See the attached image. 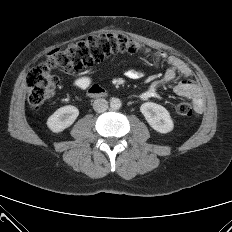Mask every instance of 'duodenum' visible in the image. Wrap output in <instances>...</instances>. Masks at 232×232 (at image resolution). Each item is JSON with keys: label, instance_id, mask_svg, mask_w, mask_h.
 <instances>
[{"label": "duodenum", "instance_id": "410a0bca", "mask_svg": "<svg viewBox=\"0 0 232 232\" xmlns=\"http://www.w3.org/2000/svg\"><path fill=\"white\" fill-rule=\"evenodd\" d=\"M105 94H106V90L104 88H101V87H93V88L89 89L87 92V96L90 98L102 97Z\"/></svg>", "mask_w": 232, "mask_h": 232}]
</instances>
